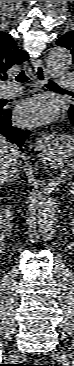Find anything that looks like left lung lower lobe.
<instances>
[{
  "mask_svg": "<svg viewBox=\"0 0 74 366\" xmlns=\"http://www.w3.org/2000/svg\"><path fill=\"white\" fill-rule=\"evenodd\" d=\"M69 117H70L71 123L74 125V105H71V107H70Z\"/></svg>",
  "mask_w": 74,
  "mask_h": 366,
  "instance_id": "obj_1",
  "label": "left lung lower lobe"
}]
</instances>
